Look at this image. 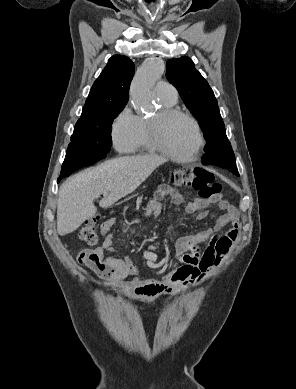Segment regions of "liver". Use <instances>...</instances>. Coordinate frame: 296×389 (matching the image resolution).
<instances>
[{"mask_svg": "<svg viewBox=\"0 0 296 389\" xmlns=\"http://www.w3.org/2000/svg\"><path fill=\"white\" fill-rule=\"evenodd\" d=\"M166 159L158 155L126 156L86 169L63 183L57 201V232L72 233L95 216L94 200L107 208L132 193Z\"/></svg>", "mask_w": 296, "mask_h": 389, "instance_id": "1", "label": "liver"}]
</instances>
